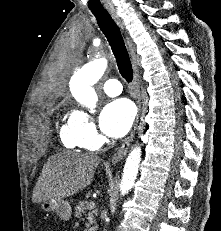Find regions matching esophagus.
I'll return each instance as SVG.
<instances>
[{
	"instance_id": "esophagus-1",
	"label": "esophagus",
	"mask_w": 221,
	"mask_h": 231,
	"mask_svg": "<svg viewBox=\"0 0 221 231\" xmlns=\"http://www.w3.org/2000/svg\"><path fill=\"white\" fill-rule=\"evenodd\" d=\"M110 14L115 20V22L119 25V27L122 30H124L123 24L121 23L115 11L111 10ZM125 38H126V45L129 51V55L131 57V63H132V68H133V91H134V99L136 100V103H137L138 112H137L136 120L132 128V131L130 135L124 140L123 144L118 149V151L113 155L112 160H111L112 164L118 163L126 155L128 148L130 146V143L134 137V134H135V131L138 125L139 117L141 114V95H140V87H139L138 57L136 55L134 45L127 34L125 35Z\"/></svg>"
}]
</instances>
